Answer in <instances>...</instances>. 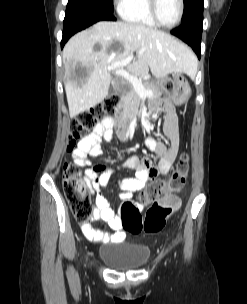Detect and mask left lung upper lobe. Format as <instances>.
Segmentation results:
<instances>
[{"instance_id": "5c2ea615", "label": "left lung upper lobe", "mask_w": 247, "mask_h": 304, "mask_svg": "<svg viewBox=\"0 0 247 304\" xmlns=\"http://www.w3.org/2000/svg\"><path fill=\"white\" fill-rule=\"evenodd\" d=\"M203 0H184V12L181 24L187 23L197 16L203 15Z\"/></svg>"}]
</instances>
